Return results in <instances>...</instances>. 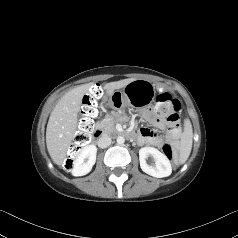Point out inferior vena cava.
<instances>
[{
    "mask_svg": "<svg viewBox=\"0 0 238 238\" xmlns=\"http://www.w3.org/2000/svg\"><path fill=\"white\" fill-rule=\"evenodd\" d=\"M97 144L100 148H106L111 144V138L108 135H102Z\"/></svg>",
    "mask_w": 238,
    "mask_h": 238,
    "instance_id": "inferior-vena-cava-1",
    "label": "inferior vena cava"
}]
</instances>
